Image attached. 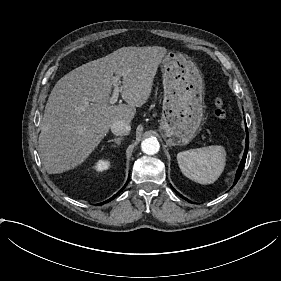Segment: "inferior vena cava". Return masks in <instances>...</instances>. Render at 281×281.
I'll return each mask as SVG.
<instances>
[{"label":"inferior vena cava","instance_id":"602c4592","mask_svg":"<svg viewBox=\"0 0 281 281\" xmlns=\"http://www.w3.org/2000/svg\"><path fill=\"white\" fill-rule=\"evenodd\" d=\"M130 130H131L130 123L125 122L123 120H119L111 126V131L115 135H120V136L128 135L130 133Z\"/></svg>","mask_w":281,"mask_h":281}]
</instances>
